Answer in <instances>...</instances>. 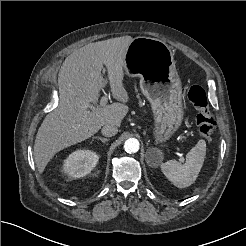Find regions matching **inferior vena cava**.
<instances>
[{"mask_svg": "<svg viewBox=\"0 0 246 246\" xmlns=\"http://www.w3.org/2000/svg\"><path fill=\"white\" fill-rule=\"evenodd\" d=\"M101 132L104 136L112 137L117 134L118 128L114 125L107 124L103 126Z\"/></svg>", "mask_w": 246, "mask_h": 246, "instance_id": "1", "label": "inferior vena cava"}]
</instances>
